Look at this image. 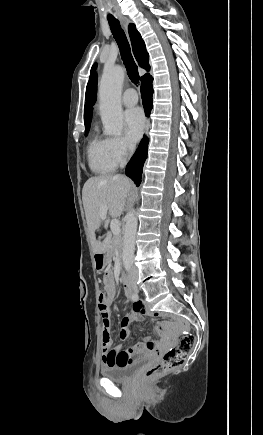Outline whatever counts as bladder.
Masks as SVG:
<instances>
[{"label":"bladder","mask_w":263,"mask_h":435,"mask_svg":"<svg viewBox=\"0 0 263 435\" xmlns=\"http://www.w3.org/2000/svg\"><path fill=\"white\" fill-rule=\"evenodd\" d=\"M144 362V360H138L126 365L105 366L101 368V374L115 382H126L139 370Z\"/></svg>","instance_id":"31cf9c89"}]
</instances>
